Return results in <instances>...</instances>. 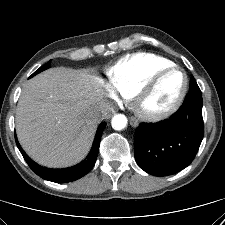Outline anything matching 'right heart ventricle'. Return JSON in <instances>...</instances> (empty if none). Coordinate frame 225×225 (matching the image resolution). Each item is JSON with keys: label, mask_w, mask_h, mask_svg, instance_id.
<instances>
[{"label": "right heart ventricle", "mask_w": 225, "mask_h": 225, "mask_svg": "<svg viewBox=\"0 0 225 225\" xmlns=\"http://www.w3.org/2000/svg\"><path fill=\"white\" fill-rule=\"evenodd\" d=\"M172 65L171 60L156 54H131L108 71L109 82L123 98L131 99L153 74Z\"/></svg>", "instance_id": "right-heart-ventricle-1"}]
</instances>
